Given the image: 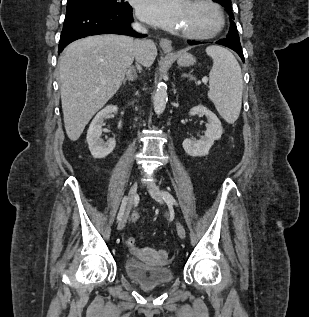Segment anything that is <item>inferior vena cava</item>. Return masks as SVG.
I'll return each instance as SVG.
<instances>
[{
	"label": "inferior vena cava",
	"mask_w": 309,
	"mask_h": 317,
	"mask_svg": "<svg viewBox=\"0 0 309 317\" xmlns=\"http://www.w3.org/2000/svg\"><path fill=\"white\" fill-rule=\"evenodd\" d=\"M132 27L136 30V31H139V32H147L146 29H144L140 24L138 23H133L132 24ZM142 46H143V42L140 41V40H136L134 41V52H135V59L137 61V69L140 71L141 68L140 66L138 65V63H140V54L142 52Z\"/></svg>",
	"instance_id": "602c4592"
}]
</instances>
